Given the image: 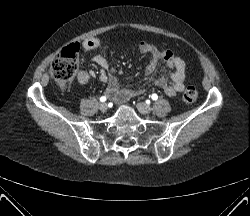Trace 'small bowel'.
<instances>
[{"instance_id": "1", "label": "small bowel", "mask_w": 250, "mask_h": 216, "mask_svg": "<svg viewBox=\"0 0 250 216\" xmlns=\"http://www.w3.org/2000/svg\"><path fill=\"white\" fill-rule=\"evenodd\" d=\"M98 45L99 41L93 38L86 40L82 44V47L85 50H93L97 48ZM139 50L141 53L150 55V61L146 67V74L148 76H152L161 67H167L170 70L169 80L165 77H159L154 81V85L162 89L168 96H175L184 90L186 65L180 57L176 56L170 50H160L147 42H141L139 44ZM94 62L102 68L100 79L107 83V94L117 103H124L131 97L144 92V88H120L117 78L109 71V64L104 56H95ZM90 77L91 74L85 70H81L77 74V80L81 84L87 83Z\"/></svg>"}]
</instances>
